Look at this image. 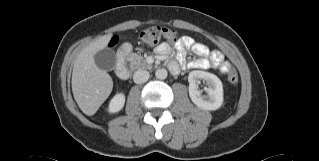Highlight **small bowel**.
<instances>
[{"label":"small bowel","instance_id":"small-bowel-1","mask_svg":"<svg viewBox=\"0 0 319 161\" xmlns=\"http://www.w3.org/2000/svg\"><path fill=\"white\" fill-rule=\"evenodd\" d=\"M177 60L180 65L191 69H207L215 65L221 73H229L232 70L231 64L225 59L219 50H210L206 45L195 42L193 38L184 36L176 44ZM192 51L197 56L196 59L187 62V51ZM170 46L161 43L156 47V53L167 56L170 54ZM179 64L171 62L169 68L173 73L179 71Z\"/></svg>","mask_w":319,"mask_h":161}]
</instances>
